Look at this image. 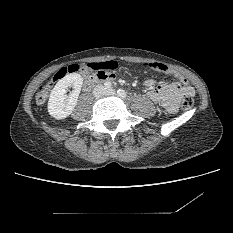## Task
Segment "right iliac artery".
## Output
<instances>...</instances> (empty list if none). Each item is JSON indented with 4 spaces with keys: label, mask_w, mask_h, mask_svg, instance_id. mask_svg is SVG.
<instances>
[{
    "label": "right iliac artery",
    "mask_w": 233,
    "mask_h": 233,
    "mask_svg": "<svg viewBox=\"0 0 233 233\" xmlns=\"http://www.w3.org/2000/svg\"><path fill=\"white\" fill-rule=\"evenodd\" d=\"M104 87H105V89H109L112 87V84L110 82H106V83H104Z\"/></svg>",
    "instance_id": "82829eb1"
}]
</instances>
